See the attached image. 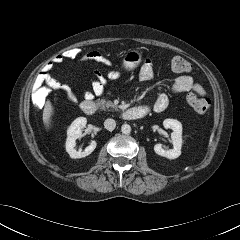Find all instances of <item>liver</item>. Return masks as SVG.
Listing matches in <instances>:
<instances>
[{"instance_id": "6515ba94", "label": "liver", "mask_w": 240, "mask_h": 240, "mask_svg": "<svg viewBox=\"0 0 240 240\" xmlns=\"http://www.w3.org/2000/svg\"><path fill=\"white\" fill-rule=\"evenodd\" d=\"M52 115H53V106L50 100H47L43 109V122L46 129L50 128Z\"/></svg>"}]
</instances>
